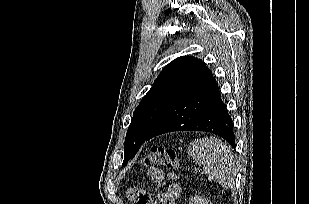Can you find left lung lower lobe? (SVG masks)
Instances as JSON below:
<instances>
[{"instance_id": "left-lung-lower-lobe-1", "label": "left lung lower lobe", "mask_w": 309, "mask_h": 204, "mask_svg": "<svg viewBox=\"0 0 309 204\" xmlns=\"http://www.w3.org/2000/svg\"><path fill=\"white\" fill-rule=\"evenodd\" d=\"M186 130L211 132L235 149L232 119L214 78L173 104L159 118L144 142L163 133Z\"/></svg>"}]
</instances>
